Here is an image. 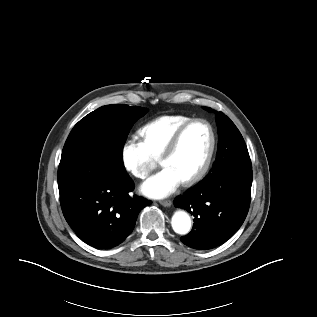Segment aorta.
Returning a JSON list of instances; mask_svg holds the SVG:
<instances>
[{
	"instance_id": "762f6f07",
	"label": "aorta",
	"mask_w": 317,
	"mask_h": 317,
	"mask_svg": "<svg viewBox=\"0 0 317 317\" xmlns=\"http://www.w3.org/2000/svg\"><path fill=\"white\" fill-rule=\"evenodd\" d=\"M172 228L180 235H186L191 229V218L185 211H177L172 217Z\"/></svg>"
}]
</instances>
